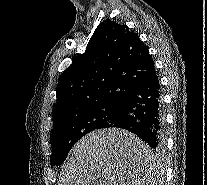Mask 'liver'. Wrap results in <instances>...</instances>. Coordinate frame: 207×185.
I'll return each mask as SVG.
<instances>
[{
  "label": "liver",
  "mask_w": 207,
  "mask_h": 185,
  "mask_svg": "<svg viewBox=\"0 0 207 185\" xmlns=\"http://www.w3.org/2000/svg\"><path fill=\"white\" fill-rule=\"evenodd\" d=\"M155 153L134 133L96 129L72 147L61 185H154Z\"/></svg>",
  "instance_id": "6515ba94"
}]
</instances>
